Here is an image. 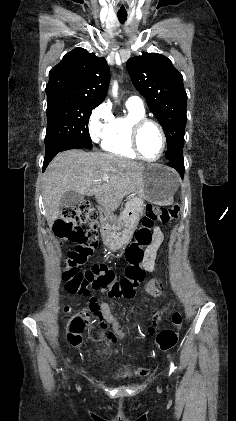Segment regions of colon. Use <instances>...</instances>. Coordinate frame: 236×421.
<instances>
[{
	"label": "colon",
	"mask_w": 236,
	"mask_h": 421,
	"mask_svg": "<svg viewBox=\"0 0 236 421\" xmlns=\"http://www.w3.org/2000/svg\"><path fill=\"white\" fill-rule=\"evenodd\" d=\"M180 213L178 204L169 207H159L148 204L146 213L142 219V225L135 234V241L126 249L125 256L128 266L125 276L118 278L115 270L106 264H94L85 271L84 266L93 256L98 246V226L91 224L83 227L80 223V213L74 207L64 208L54 224V233L61 241L72 244L63 278L69 293L87 296L91 289L100 290L110 298H131L135 294V288L143 281L145 270L142 263L146 261L149 250L154 244V235L151 228L155 222L167 223ZM149 248L148 251L146 249ZM152 252V258L156 254ZM152 262V261H151ZM150 262V263H151ZM68 311V307H65ZM174 329H165L159 332L155 338V346L160 350H168L175 346L179 338V330L182 326V315L173 313L171 317ZM88 321V313L82 311L69 320L67 339L69 343L80 351L85 350V344L81 332Z\"/></svg>",
	"instance_id": "5ec220e1"
}]
</instances>
